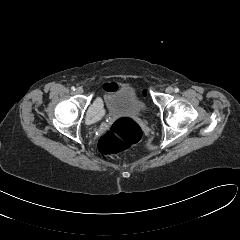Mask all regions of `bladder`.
Segmentation results:
<instances>
[{"label": "bladder", "mask_w": 240, "mask_h": 240, "mask_svg": "<svg viewBox=\"0 0 240 240\" xmlns=\"http://www.w3.org/2000/svg\"><path fill=\"white\" fill-rule=\"evenodd\" d=\"M103 101L109 115H142L146 110L137 90L128 84L119 85L108 91Z\"/></svg>", "instance_id": "obj_1"}]
</instances>
